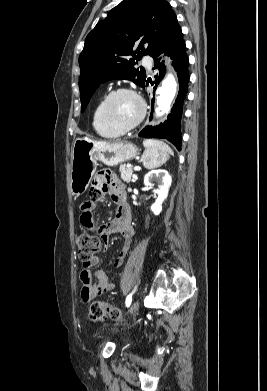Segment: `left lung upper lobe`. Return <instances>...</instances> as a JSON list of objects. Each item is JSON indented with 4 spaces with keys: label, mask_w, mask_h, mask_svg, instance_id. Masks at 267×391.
I'll list each match as a JSON object with an SVG mask.
<instances>
[{
    "label": "left lung upper lobe",
    "mask_w": 267,
    "mask_h": 391,
    "mask_svg": "<svg viewBox=\"0 0 267 391\" xmlns=\"http://www.w3.org/2000/svg\"><path fill=\"white\" fill-rule=\"evenodd\" d=\"M178 25L165 0H123L114 7L87 35L79 56L81 112L105 81L127 79L143 87L145 70L134 65L143 55H151Z\"/></svg>",
    "instance_id": "5c2ea615"
}]
</instances>
